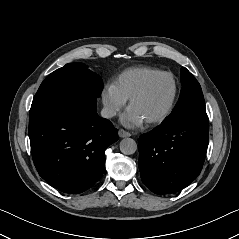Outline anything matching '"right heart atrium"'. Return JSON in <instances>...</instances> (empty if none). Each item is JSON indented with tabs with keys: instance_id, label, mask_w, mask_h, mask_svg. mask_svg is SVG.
Wrapping results in <instances>:
<instances>
[{
	"instance_id": "d8ad5b80",
	"label": "right heart atrium",
	"mask_w": 239,
	"mask_h": 239,
	"mask_svg": "<svg viewBox=\"0 0 239 239\" xmlns=\"http://www.w3.org/2000/svg\"><path fill=\"white\" fill-rule=\"evenodd\" d=\"M102 104L106 117L112 118L125 105L126 100L119 94L114 84H106L102 90Z\"/></svg>"
}]
</instances>
